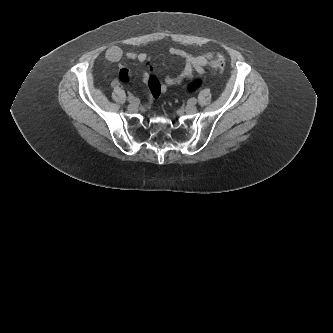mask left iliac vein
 I'll return each instance as SVG.
<instances>
[{
    "instance_id": "obj_1",
    "label": "left iliac vein",
    "mask_w": 333,
    "mask_h": 333,
    "mask_svg": "<svg viewBox=\"0 0 333 333\" xmlns=\"http://www.w3.org/2000/svg\"><path fill=\"white\" fill-rule=\"evenodd\" d=\"M185 111L189 114H193L197 112V107L194 104L190 103L186 105Z\"/></svg>"
}]
</instances>
